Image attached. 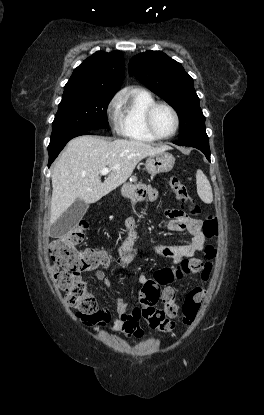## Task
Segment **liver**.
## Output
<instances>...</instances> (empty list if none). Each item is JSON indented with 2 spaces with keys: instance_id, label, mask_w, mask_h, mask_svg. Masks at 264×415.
Instances as JSON below:
<instances>
[{
  "instance_id": "obj_1",
  "label": "liver",
  "mask_w": 264,
  "mask_h": 415,
  "mask_svg": "<svg viewBox=\"0 0 264 415\" xmlns=\"http://www.w3.org/2000/svg\"><path fill=\"white\" fill-rule=\"evenodd\" d=\"M168 149L166 145L154 147L135 140L108 141L88 135L72 139L52 171L50 225L77 199L87 204L97 202L124 184L143 158ZM113 167L101 182V170Z\"/></svg>"
}]
</instances>
